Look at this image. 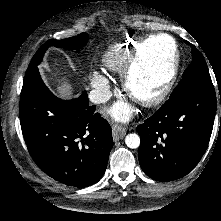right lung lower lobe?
<instances>
[{
    "label": "right lung lower lobe",
    "instance_id": "obj_1",
    "mask_svg": "<svg viewBox=\"0 0 221 221\" xmlns=\"http://www.w3.org/2000/svg\"><path fill=\"white\" fill-rule=\"evenodd\" d=\"M94 112L86 92L65 101L51 93L38 71L24 80L22 133L31 157L48 176L78 188L103 176L113 146L112 130Z\"/></svg>",
    "mask_w": 221,
    "mask_h": 221
}]
</instances>
